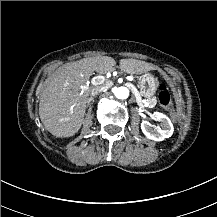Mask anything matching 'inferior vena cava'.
Returning <instances> with one entry per match:
<instances>
[{"label": "inferior vena cava", "instance_id": "obj_1", "mask_svg": "<svg viewBox=\"0 0 217 217\" xmlns=\"http://www.w3.org/2000/svg\"><path fill=\"white\" fill-rule=\"evenodd\" d=\"M105 89H106L105 86L97 85V86H94L93 88H91L90 94H91V96H95L97 93H99L100 91H103Z\"/></svg>", "mask_w": 217, "mask_h": 217}]
</instances>
